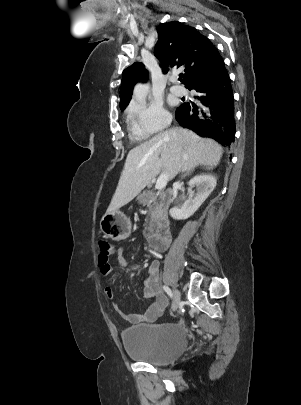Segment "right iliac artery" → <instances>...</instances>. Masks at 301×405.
Listing matches in <instances>:
<instances>
[{"label":"right iliac artery","mask_w":301,"mask_h":405,"mask_svg":"<svg viewBox=\"0 0 301 405\" xmlns=\"http://www.w3.org/2000/svg\"><path fill=\"white\" fill-rule=\"evenodd\" d=\"M162 288L169 295L170 298H173V293H172V291L170 290L169 287L163 286Z\"/></svg>","instance_id":"obj_1"}]
</instances>
